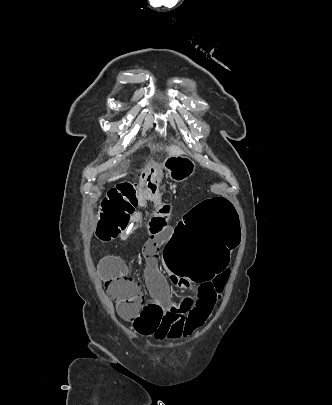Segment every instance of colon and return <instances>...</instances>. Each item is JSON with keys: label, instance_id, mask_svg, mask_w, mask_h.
<instances>
[{"label": "colon", "instance_id": "colon-1", "mask_svg": "<svg viewBox=\"0 0 332 405\" xmlns=\"http://www.w3.org/2000/svg\"><path fill=\"white\" fill-rule=\"evenodd\" d=\"M138 185L120 183L107 192L95 230L101 241L116 239L131 226L138 207ZM241 240L235 202L226 197H202L201 202L190 205L187 220H176L168 248H164L163 268H168V275H182L183 281L212 280L216 302L229 277L228 257H235ZM106 287L120 314L134 320L144 301L138 284L130 277H116Z\"/></svg>", "mask_w": 332, "mask_h": 405}]
</instances>
